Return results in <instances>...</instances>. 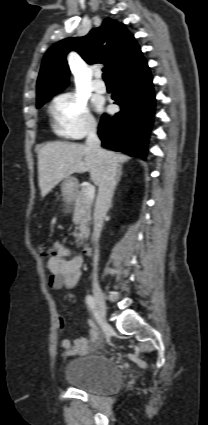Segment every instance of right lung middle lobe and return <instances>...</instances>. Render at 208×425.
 <instances>
[{
  "label": "right lung middle lobe",
  "mask_w": 208,
  "mask_h": 425,
  "mask_svg": "<svg viewBox=\"0 0 208 425\" xmlns=\"http://www.w3.org/2000/svg\"><path fill=\"white\" fill-rule=\"evenodd\" d=\"M55 94L48 95L44 97L39 103H37V108H40L44 103L50 100Z\"/></svg>",
  "instance_id": "obj_1"
}]
</instances>
